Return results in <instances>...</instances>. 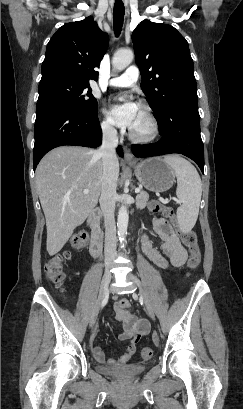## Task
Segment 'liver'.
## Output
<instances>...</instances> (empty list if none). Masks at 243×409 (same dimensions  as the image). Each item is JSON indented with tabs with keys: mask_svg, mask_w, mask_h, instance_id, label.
Segmentation results:
<instances>
[{
	"mask_svg": "<svg viewBox=\"0 0 243 409\" xmlns=\"http://www.w3.org/2000/svg\"><path fill=\"white\" fill-rule=\"evenodd\" d=\"M119 173V162H116ZM103 182L102 158L94 149L61 146L47 153L36 169L35 183L46 218V248L57 254L75 228L98 203ZM88 190V194L83 191Z\"/></svg>",
	"mask_w": 243,
	"mask_h": 409,
	"instance_id": "obj_1",
	"label": "liver"
}]
</instances>
